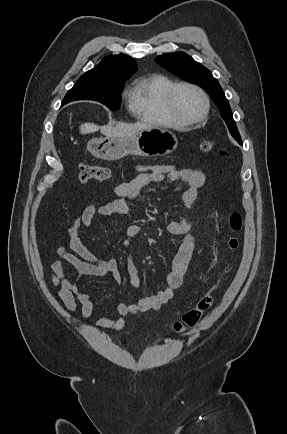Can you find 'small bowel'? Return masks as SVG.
<instances>
[{
  "label": "small bowel",
  "instance_id": "c3829d8e",
  "mask_svg": "<svg viewBox=\"0 0 287 434\" xmlns=\"http://www.w3.org/2000/svg\"><path fill=\"white\" fill-rule=\"evenodd\" d=\"M137 174L130 180L119 184L115 188L116 198L102 206L89 205L75 217L68 228V245L77 254L70 252L64 244L57 246V253L61 259L70 264L76 270L74 279H69L62 261H55L51 265L50 283L54 288H59L58 295L67 311L75 313L77 303L81 305V312L85 318L93 314L94 298L80 290L79 284L82 278L87 276L104 277L110 275L117 284L123 279L114 259H99L78 238L80 227H91L96 218L126 217L133 208L143 205L140 196L141 191L154 184H166L175 186L185 183L187 186L182 192V201L187 215L180 220L171 221L165 225V232L170 236L185 235L184 241L175 254L169 271L164 278V287L156 293L141 297L133 303H117L115 311L117 317H101L95 321L97 328L122 329L126 326L123 318L140 312H150L159 309L168 303L175 294L176 289L182 284L184 275L192 260L198 242V233L193 224L197 191L205 183L204 173L195 168L177 169L173 165H137ZM138 224H129L123 230V245L128 251L127 271L130 283L133 287H140L142 278L135 259L130 253V240L140 232Z\"/></svg>",
  "mask_w": 287,
  "mask_h": 434
}]
</instances>
